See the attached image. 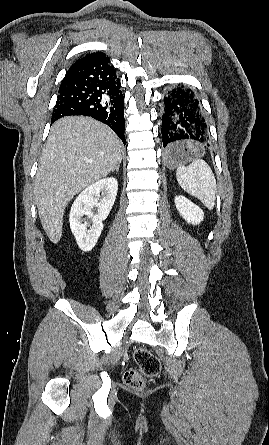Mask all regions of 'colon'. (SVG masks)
Here are the masks:
<instances>
[{
  "instance_id": "obj_1",
  "label": "colon",
  "mask_w": 269,
  "mask_h": 445,
  "mask_svg": "<svg viewBox=\"0 0 269 445\" xmlns=\"http://www.w3.org/2000/svg\"><path fill=\"white\" fill-rule=\"evenodd\" d=\"M133 359L137 369L125 371L123 380L128 387L141 390L145 386V378H152L160 373L161 363L157 356L145 348L135 349Z\"/></svg>"
}]
</instances>
